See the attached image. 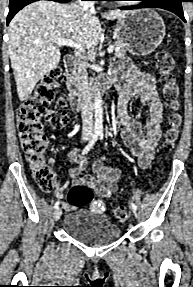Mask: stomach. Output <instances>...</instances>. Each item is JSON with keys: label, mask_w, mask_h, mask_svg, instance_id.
<instances>
[{"label": "stomach", "mask_w": 193, "mask_h": 287, "mask_svg": "<svg viewBox=\"0 0 193 287\" xmlns=\"http://www.w3.org/2000/svg\"><path fill=\"white\" fill-rule=\"evenodd\" d=\"M165 32V23L157 12L140 9L118 18L114 35L130 53L148 55L162 43Z\"/></svg>", "instance_id": "stomach-1"}]
</instances>
